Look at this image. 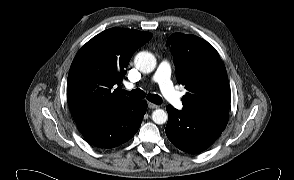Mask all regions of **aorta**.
<instances>
[{
  "label": "aorta",
  "instance_id": "762f6f07",
  "mask_svg": "<svg viewBox=\"0 0 294 180\" xmlns=\"http://www.w3.org/2000/svg\"><path fill=\"white\" fill-rule=\"evenodd\" d=\"M135 65L142 73H150L156 67V58L152 53L142 51L135 56ZM152 120L156 124H164L168 120V114L163 109H156L152 113Z\"/></svg>",
  "mask_w": 294,
  "mask_h": 180
}]
</instances>
